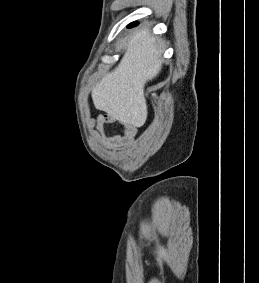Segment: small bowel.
I'll list each match as a JSON object with an SVG mask.
<instances>
[{"mask_svg": "<svg viewBox=\"0 0 259 283\" xmlns=\"http://www.w3.org/2000/svg\"><path fill=\"white\" fill-rule=\"evenodd\" d=\"M111 124L119 126L122 129V132L108 134L107 127ZM89 126L96 139H101L108 145L119 149L129 148L133 144L136 135V128L133 124L119 120L108 114H100L96 118L91 119L89 121Z\"/></svg>", "mask_w": 259, "mask_h": 283, "instance_id": "1", "label": "small bowel"}]
</instances>
